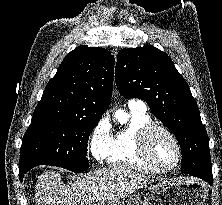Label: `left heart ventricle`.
<instances>
[{"instance_id":"b2bd125f","label":"left heart ventricle","mask_w":222,"mask_h":205,"mask_svg":"<svg viewBox=\"0 0 222 205\" xmlns=\"http://www.w3.org/2000/svg\"><path fill=\"white\" fill-rule=\"evenodd\" d=\"M148 148L152 158L160 166L170 167L176 161V147L173 141L163 132L156 131L150 135Z\"/></svg>"}]
</instances>
